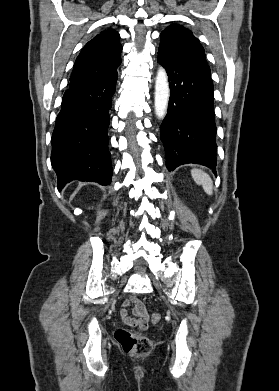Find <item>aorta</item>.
Returning a JSON list of instances; mask_svg holds the SVG:
<instances>
[{"label":"aorta","instance_id":"obj_1","mask_svg":"<svg viewBox=\"0 0 279 391\" xmlns=\"http://www.w3.org/2000/svg\"><path fill=\"white\" fill-rule=\"evenodd\" d=\"M170 89L166 71L159 67L155 81V114L159 119H163L167 113Z\"/></svg>","mask_w":279,"mask_h":391}]
</instances>
